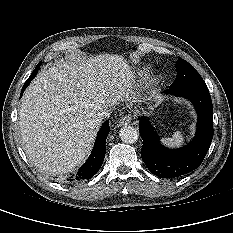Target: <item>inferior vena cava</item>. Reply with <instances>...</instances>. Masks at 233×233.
<instances>
[{"label":"inferior vena cava","instance_id":"obj_1","mask_svg":"<svg viewBox=\"0 0 233 233\" xmlns=\"http://www.w3.org/2000/svg\"><path fill=\"white\" fill-rule=\"evenodd\" d=\"M110 114H111V108H104L96 114L95 119L99 122H102V120L108 118Z\"/></svg>","mask_w":233,"mask_h":233}]
</instances>
